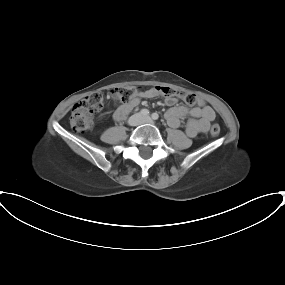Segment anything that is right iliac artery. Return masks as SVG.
<instances>
[{
  "label": "right iliac artery",
  "mask_w": 285,
  "mask_h": 285,
  "mask_svg": "<svg viewBox=\"0 0 285 285\" xmlns=\"http://www.w3.org/2000/svg\"><path fill=\"white\" fill-rule=\"evenodd\" d=\"M140 114H141L142 116H147V115H149V111H148L147 109H142V110L140 111Z\"/></svg>",
  "instance_id": "82829eb1"
}]
</instances>
